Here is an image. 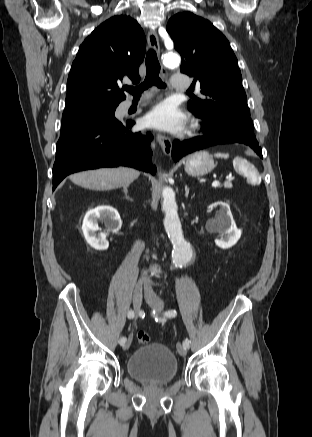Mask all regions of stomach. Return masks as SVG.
<instances>
[{"instance_id": "obj_1", "label": "stomach", "mask_w": 312, "mask_h": 437, "mask_svg": "<svg viewBox=\"0 0 312 437\" xmlns=\"http://www.w3.org/2000/svg\"><path fill=\"white\" fill-rule=\"evenodd\" d=\"M214 167V160L206 151L189 155L184 164L185 172L195 177L208 174Z\"/></svg>"}]
</instances>
